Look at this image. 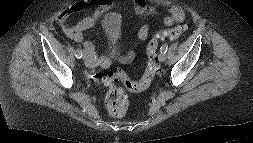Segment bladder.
Masks as SVG:
<instances>
[{
  "mask_svg": "<svg viewBox=\"0 0 253 143\" xmlns=\"http://www.w3.org/2000/svg\"><path fill=\"white\" fill-rule=\"evenodd\" d=\"M102 33L105 47L104 63L108 64L117 56L122 43V21L117 12H109L103 17Z\"/></svg>",
  "mask_w": 253,
  "mask_h": 143,
  "instance_id": "bladder-1",
  "label": "bladder"
}]
</instances>
